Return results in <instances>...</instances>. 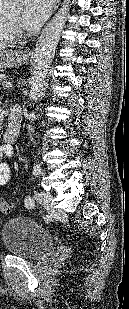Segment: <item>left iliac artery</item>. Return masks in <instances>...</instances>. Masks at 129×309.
Returning a JSON list of instances; mask_svg holds the SVG:
<instances>
[{"mask_svg": "<svg viewBox=\"0 0 129 309\" xmlns=\"http://www.w3.org/2000/svg\"><path fill=\"white\" fill-rule=\"evenodd\" d=\"M40 172H41L40 165H39V164H34V167H33V174H34L35 176H37V175L40 174ZM25 205H26V207H27L28 209H32V208L35 207V202H34V200H33L32 198L29 197V198H27V199L25 200ZM44 220H45V221H49V220H50V216H49V215H46V216L44 217Z\"/></svg>", "mask_w": 129, "mask_h": 309, "instance_id": "obj_1", "label": "left iliac artery"}]
</instances>
